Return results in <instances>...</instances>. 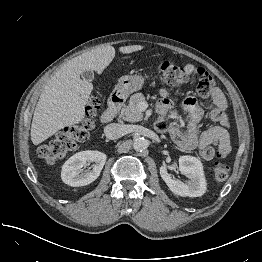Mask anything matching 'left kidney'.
<instances>
[{
    "label": "left kidney",
    "instance_id": "left-kidney-1",
    "mask_svg": "<svg viewBox=\"0 0 262 262\" xmlns=\"http://www.w3.org/2000/svg\"><path fill=\"white\" fill-rule=\"evenodd\" d=\"M170 168L172 167L165 164L162 165L160 167V175L175 195L200 197L206 192L203 166L198 158L192 156H181L179 158V170L181 174L189 179L187 183L173 178L167 171Z\"/></svg>",
    "mask_w": 262,
    "mask_h": 262
}]
</instances>
